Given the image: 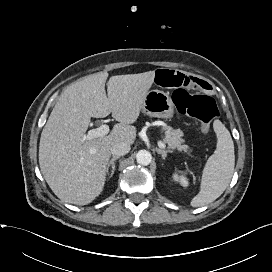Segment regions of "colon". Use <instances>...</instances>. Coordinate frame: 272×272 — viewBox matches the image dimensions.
<instances>
[{
	"label": "colon",
	"instance_id": "obj_1",
	"mask_svg": "<svg viewBox=\"0 0 272 272\" xmlns=\"http://www.w3.org/2000/svg\"><path fill=\"white\" fill-rule=\"evenodd\" d=\"M172 99L179 113L200 122L204 133L210 130L211 122L219 115L216 102L210 96L191 94L180 88L173 92Z\"/></svg>",
	"mask_w": 272,
	"mask_h": 272
}]
</instances>
